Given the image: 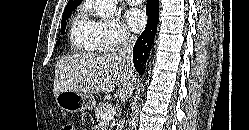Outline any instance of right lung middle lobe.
Masks as SVG:
<instances>
[{
  "label": "right lung middle lobe",
  "instance_id": "dd1d6c3e",
  "mask_svg": "<svg viewBox=\"0 0 249 130\" xmlns=\"http://www.w3.org/2000/svg\"><path fill=\"white\" fill-rule=\"evenodd\" d=\"M79 4H70L65 7L64 13L62 15V20H61V33L63 34L66 28V20L70 17L71 13ZM59 41L56 43V45H59Z\"/></svg>",
  "mask_w": 249,
  "mask_h": 130
}]
</instances>
